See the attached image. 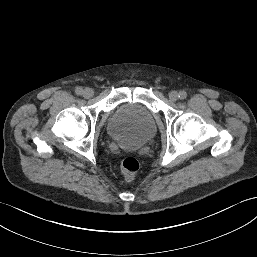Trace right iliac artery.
Here are the masks:
<instances>
[{"instance_id":"1","label":"right iliac artery","mask_w":257,"mask_h":257,"mask_svg":"<svg viewBox=\"0 0 257 257\" xmlns=\"http://www.w3.org/2000/svg\"><path fill=\"white\" fill-rule=\"evenodd\" d=\"M75 92L77 95H81V94H83V89L78 87V88H76Z\"/></svg>"}]
</instances>
